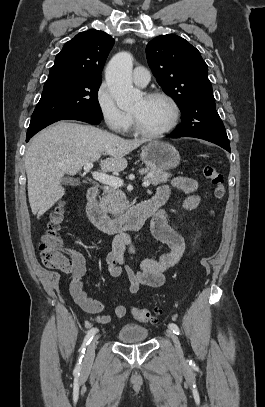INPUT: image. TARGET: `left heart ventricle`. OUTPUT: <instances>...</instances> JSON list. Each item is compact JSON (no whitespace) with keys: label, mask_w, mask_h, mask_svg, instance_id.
I'll use <instances>...</instances> for the list:
<instances>
[{"label":"left heart ventricle","mask_w":265,"mask_h":407,"mask_svg":"<svg viewBox=\"0 0 265 407\" xmlns=\"http://www.w3.org/2000/svg\"><path fill=\"white\" fill-rule=\"evenodd\" d=\"M139 125L147 131H159L166 128L173 118L170 104L163 99L147 100L141 97L131 110Z\"/></svg>","instance_id":"b2bd125f"}]
</instances>
